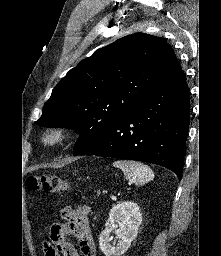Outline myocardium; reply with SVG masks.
Listing matches in <instances>:
<instances>
[{"label":"myocardium","mask_w":221,"mask_h":256,"mask_svg":"<svg viewBox=\"0 0 221 256\" xmlns=\"http://www.w3.org/2000/svg\"><path fill=\"white\" fill-rule=\"evenodd\" d=\"M70 136V131L63 125L51 126L42 133L41 140L47 146H56L65 142Z\"/></svg>","instance_id":"myocardium-1"}]
</instances>
